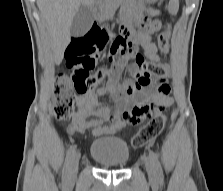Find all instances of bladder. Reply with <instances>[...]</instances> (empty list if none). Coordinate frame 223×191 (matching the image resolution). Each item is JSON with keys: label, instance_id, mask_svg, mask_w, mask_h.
Instances as JSON below:
<instances>
[{"label": "bladder", "instance_id": "1", "mask_svg": "<svg viewBox=\"0 0 223 191\" xmlns=\"http://www.w3.org/2000/svg\"><path fill=\"white\" fill-rule=\"evenodd\" d=\"M90 156L101 166L120 168L128 163L130 150L120 137H102L92 142Z\"/></svg>", "mask_w": 223, "mask_h": 191}]
</instances>
